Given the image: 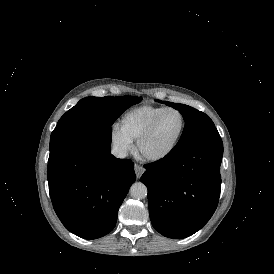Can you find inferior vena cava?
<instances>
[{
	"label": "inferior vena cava",
	"mask_w": 274,
	"mask_h": 274,
	"mask_svg": "<svg viewBox=\"0 0 274 274\" xmlns=\"http://www.w3.org/2000/svg\"><path fill=\"white\" fill-rule=\"evenodd\" d=\"M111 153L116 157V158H125L127 156V151L125 148L121 146H114L111 150Z\"/></svg>",
	"instance_id": "1"
}]
</instances>
